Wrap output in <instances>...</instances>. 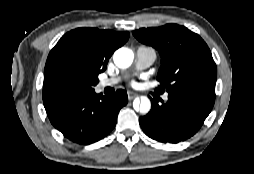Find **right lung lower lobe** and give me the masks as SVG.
<instances>
[{
  "mask_svg": "<svg viewBox=\"0 0 254 174\" xmlns=\"http://www.w3.org/2000/svg\"><path fill=\"white\" fill-rule=\"evenodd\" d=\"M127 102L124 90L105 97L93 89L45 100L44 107L52 125L66 138L87 145L111 132L120 109Z\"/></svg>",
  "mask_w": 254,
  "mask_h": 174,
  "instance_id": "right-lung-lower-lobe-1",
  "label": "right lung lower lobe"
}]
</instances>
